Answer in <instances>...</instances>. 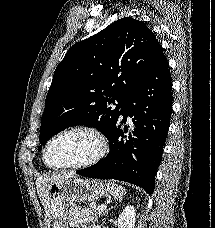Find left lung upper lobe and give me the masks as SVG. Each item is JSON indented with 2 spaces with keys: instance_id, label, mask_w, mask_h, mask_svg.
Here are the masks:
<instances>
[{
  "instance_id": "obj_1",
  "label": "left lung upper lobe",
  "mask_w": 215,
  "mask_h": 228,
  "mask_svg": "<svg viewBox=\"0 0 215 228\" xmlns=\"http://www.w3.org/2000/svg\"><path fill=\"white\" fill-rule=\"evenodd\" d=\"M162 51L142 21L127 17L74 44L57 66L40 127L42 145L74 125L95 127L107 138L127 98ZM113 108L110 105H116Z\"/></svg>"
}]
</instances>
